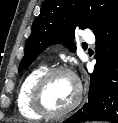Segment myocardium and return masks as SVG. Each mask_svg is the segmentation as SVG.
<instances>
[{
    "instance_id": "obj_1",
    "label": "myocardium",
    "mask_w": 118,
    "mask_h": 123,
    "mask_svg": "<svg viewBox=\"0 0 118 123\" xmlns=\"http://www.w3.org/2000/svg\"><path fill=\"white\" fill-rule=\"evenodd\" d=\"M65 73L69 75L73 81L76 84V97L73 100V102L66 107L63 110L60 111H54L51 110L47 107V105L44 102V92L45 88L50 81V79L57 75ZM83 97V87L80 79L78 78L77 74L70 68L65 67V66H57V67H51L48 68L36 81L33 91H32V96H31V102H32V107L33 109L41 114L43 117L47 118H62L72 112L81 102Z\"/></svg>"
}]
</instances>
